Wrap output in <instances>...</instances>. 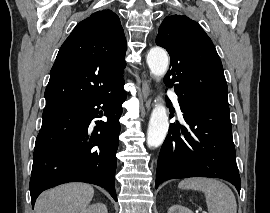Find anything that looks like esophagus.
Listing matches in <instances>:
<instances>
[{
	"label": "esophagus",
	"mask_w": 270,
	"mask_h": 213,
	"mask_svg": "<svg viewBox=\"0 0 270 213\" xmlns=\"http://www.w3.org/2000/svg\"><path fill=\"white\" fill-rule=\"evenodd\" d=\"M151 92L150 82L146 78L142 79L141 95L147 101Z\"/></svg>",
	"instance_id": "34e87169"
}]
</instances>
